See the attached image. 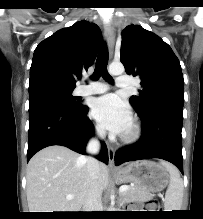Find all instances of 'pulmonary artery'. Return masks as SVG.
<instances>
[{
	"mask_svg": "<svg viewBox=\"0 0 203 219\" xmlns=\"http://www.w3.org/2000/svg\"><path fill=\"white\" fill-rule=\"evenodd\" d=\"M132 84L131 78L127 75H122L117 78L116 85L120 88H128ZM109 89L107 84L100 82H90L88 85H84L78 88L77 93L82 96L101 94Z\"/></svg>",
	"mask_w": 203,
	"mask_h": 219,
	"instance_id": "obj_1",
	"label": "pulmonary artery"
}]
</instances>
